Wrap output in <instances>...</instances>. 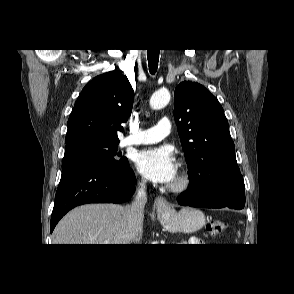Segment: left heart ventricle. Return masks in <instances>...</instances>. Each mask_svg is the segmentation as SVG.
<instances>
[{
  "label": "left heart ventricle",
  "mask_w": 294,
  "mask_h": 294,
  "mask_svg": "<svg viewBox=\"0 0 294 294\" xmlns=\"http://www.w3.org/2000/svg\"><path fill=\"white\" fill-rule=\"evenodd\" d=\"M176 180V177L174 178V180L172 182H174Z\"/></svg>",
  "instance_id": "b2bd125f"
}]
</instances>
